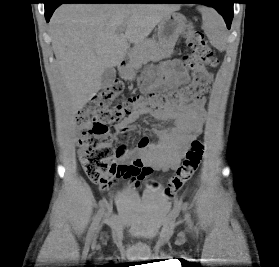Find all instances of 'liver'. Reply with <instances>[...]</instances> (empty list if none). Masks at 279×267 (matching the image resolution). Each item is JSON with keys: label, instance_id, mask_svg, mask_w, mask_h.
Wrapping results in <instances>:
<instances>
[{"label": "liver", "instance_id": "liver-1", "mask_svg": "<svg viewBox=\"0 0 279 267\" xmlns=\"http://www.w3.org/2000/svg\"><path fill=\"white\" fill-rule=\"evenodd\" d=\"M179 9L165 4L60 6L51 18L50 32L72 113L100 90L102 73L124 60L130 43L143 42L166 15ZM121 27L125 35L117 34Z\"/></svg>", "mask_w": 279, "mask_h": 267}]
</instances>
